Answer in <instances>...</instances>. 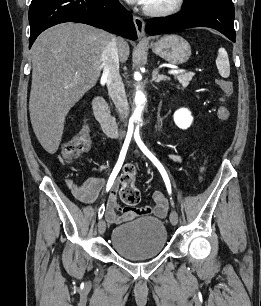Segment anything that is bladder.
<instances>
[{"label":"bladder","mask_w":261,"mask_h":306,"mask_svg":"<svg viewBox=\"0 0 261 306\" xmlns=\"http://www.w3.org/2000/svg\"><path fill=\"white\" fill-rule=\"evenodd\" d=\"M164 222L145 216L116 226L111 233L113 250L127 260H145L160 255L167 244Z\"/></svg>","instance_id":"obj_1"}]
</instances>
